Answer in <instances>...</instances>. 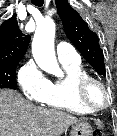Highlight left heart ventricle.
Here are the masks:
<instances>
[{
    "label": "left heart ventricle",
    "instance_id": "1",
    "mask_svg": "<svg viewBox=\"0 0 117 136\" xmlns=\"http://www.w3.org/2000/svg\"><path fill=\"white\" fill-rule=\"evenodd\" d=\"M88 95L90 101L95 105H101L105 100L102 90L97 85H92L90 87Z\"/></svg>",
    "mask_w": 117,
    "mask_h": 136
}]
</instances>
